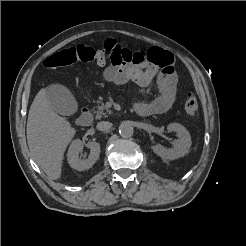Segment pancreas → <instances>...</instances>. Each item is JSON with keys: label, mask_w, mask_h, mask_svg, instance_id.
<instances>
[{"label": "pancreas", "mask_w": 246, "mask_h": 246, "mask_svg": "<svg viewBox=\"0 0 246 246\" xmlns=\"http://www.w3.org/2000/svg\"><path fill=\"white\" fill-rule=\"evenodd\" d=\"M99 103H101V105H98L97 107L98 110L95 111L96 119H101L102 117H107L108 114H111V111L106 108V106L104 105V103H102V101H99Z\"/></svg>", "instance_id": "obj_1"}]
</instances>
